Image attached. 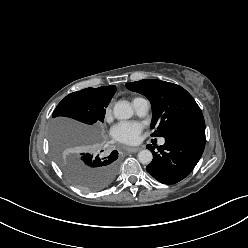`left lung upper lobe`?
Wrapping results in <instances>:
<instances>
[{
	"label": "left lung upper lobe",
	"mask_w": 248,
	"mask_h": 248,
	"mask_svg": "<svg viewBox=\"0 0 248 248\" xmlns=\"http://www.w3.org/2000/svg\"><path fill=\"white\" fill-rule=\"evenodd\" d=\"M126 87L145 95L151 102L153 118L152 136L167 137L181 126L198 119H204L201 109L193 97L181 86L145 79L127 83Z\"/></svg>",
	"instance_id": "obj_1"
}]
</instances>
